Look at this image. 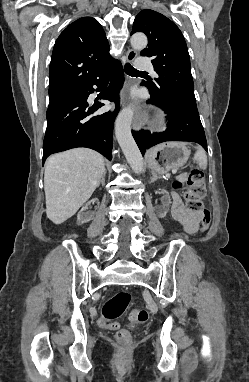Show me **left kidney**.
Instances as JSON below:
<instances>
[{"label": "left kidney", "mask_w": 249, "mask_h": 382, "mask_svg": "<svg viewBox=\"0 0 249 382\" xmlns=\"http://www.w3.org/2000/svg\"><path fill=\"white\" fill-rule=\"evenodd\" d=\"M169 190H164V192L159 196V201L157 202V207L158 208H167L170 202V197L169 195Z\"/></svg>", "instance_id": "left-kidney-1"}]
</instances>
